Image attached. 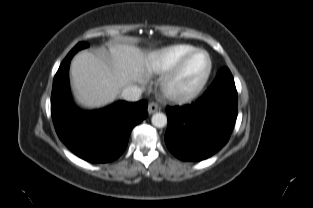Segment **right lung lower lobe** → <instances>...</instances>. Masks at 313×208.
<instances>
[{"label": "right lung lower lobe", "mask_w": 313, "mask_h": 208, "mask_svg": "<svg viewBox=\"0 0 313 208\" xmlns=\"http://www.w3.org/2000/svg\"><path fill=\"white\" fill-rule=\"evenodd\" d=\"M70 52L61 63L53 81L51 114L60 140L78 157L94 163L118 158L126 149L135 125L147 116V101L117 102L103 109L77 108L69 92Z\"/></svg>", "instance_id": "1"}]
</instances>
